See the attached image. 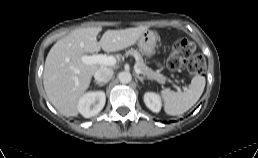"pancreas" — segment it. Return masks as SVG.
I'll return each instance as SVG.
<instances>
[{"mask_svg":"<svg viewBox=\"0 0 258 158\" xmlns=\"http://www.w3.org/2000/svg\"><path fill=\"white\" fill-rule=\"evenodd\" d=\"M126 56H132L136 60V67L141 70V73L146 76L148 79L156 80L159 83H164L166 81V77L160 74L158 71H153L151 68L146 66L143 61L141 54L134 49H130L126 52Z\"/></svg>","mask_w":258,"mask_h":158,"instance_id":"pancreas-1","label":"pancreas"}]
</instances>
